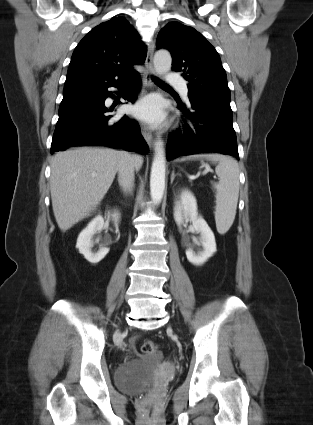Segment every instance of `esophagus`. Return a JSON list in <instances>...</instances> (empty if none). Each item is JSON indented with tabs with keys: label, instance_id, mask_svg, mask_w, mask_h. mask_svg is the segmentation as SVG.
I'll return each mask as SVG.
<instances>
[{
	"label": "esophagus",
	"instance_id": "obj_1",
	"mask_svg": "<svg viewBox=\"0 0 313 425\" xmlns=\"http://www.w3.org/2000/svg\"><path fill=\"white\" fill-rule=\"evenodd\" d=\"M153 53H154V43L151 42L148 46L147 57L145 60V71L143 73V80L146 86L151 85V77L155 74V69L153 66ZM142 136L144 137L147 144L153 146V137L149 128L145 125H141Z\"/></svg>",
	"mask_w": 313,
	"mask_h": 425
}]
</instances>
